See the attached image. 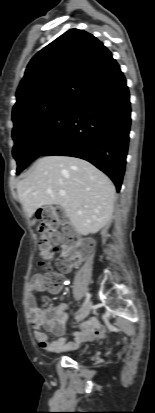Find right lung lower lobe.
Returning <instances> with one entry per match:
<instances>
[{"mask_svg":"<svg viewBox=\"0 0 155 413\" xmlns=\"http://www.w3.org/2000/svg\"><path fill=\"white\" fill-rule=\"evenodd\" d=\"M126 79L119 69L75 105L63 133L40 156L85 159L107 174L120 190L131 125Z\"/></svg>","mask_w":155,"mask_h":413,"instance_id":"obj_1","label":"right lung lower lobe"}]
</instances>
